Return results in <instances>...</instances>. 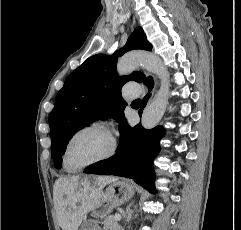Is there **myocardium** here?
Here are the masks:
<instances>
[{"label":"myocardium","mask_w":241,"mask_h":230,"mask_svg":"<svg viewBox=\"0 0 241 230\" xmlns=\"http://www.w3.org/2000/svg\"><path fill=\"white\" fill-rule=\"evenodd\" d=\"M90 129H100V130L105 131L111 138V148L105 155H103V156H101L99 158H96V159H94L92 161H89V162L84 163V164H82L80 166H77V167H71L69 165L68 161H67V155H68L69 146H70L72 140L78 134H80V133H82V132H84L86 130H90ZM117 150H118V143H117V140H116L115 136L113 135L111 129L109 128V126L106 123H104V122L95 121V122H91V123H88V124L80 127L78 130H76L69 137V139L67 140V142L65 144L64 150H63L62 159H63L64 166H65V168L68 171H79V170L88 168V167H90L92 165H95V164L102 163V162L110 160L111 158H113L116 155Z\"/></svg>","instance_id":"f54148a6"}]
</instances>
